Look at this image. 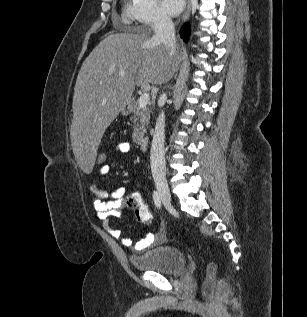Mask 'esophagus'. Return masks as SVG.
<instances>
[{
    "label": "esophagus",
    "instance_id": "34e87169",
    "mask_svg": "<svg viewBox=\"0 0 307 317\" xmlns=\"http://www.w3.org/2000/svg\"><path fill=\"white\" fill-rule=\"evenodd\" d=\"M190 11H191V0H187L186 1V8H185V11L183 13V16H182V20L183 21H186L190 15Z\"/></svg>",
    "mask_w": 307,
    "mask_h": 317
}]
</instances>
